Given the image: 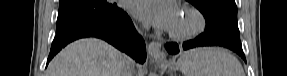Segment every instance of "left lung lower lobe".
Segmentation results:
<instances>
[{
	"instance_id": "obj_1",
	"label": "left lung lower lobe",
	"mask_w": 287,
	"mask_h": 76,
	"mask_svg": "<svg viewBox=\"0 0 287 76\" xmlns=\"http://www.w3.org/2000/svg\"><path fill=\"white\" fill-rule=\"evenodd\" d=\"M199 46H223V47L229 48L232 51L239 54L246 62L240 40H235V39L215 35L206 30L204 31V33L200 34L198 37H196L193 40L186 41L182 44L167 43L165 45V48L169 52V54L175 55L179 53L181 49L187 50V49L199 47Z\"/></svg>"
}]
</instances>
